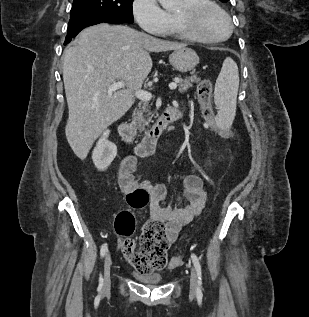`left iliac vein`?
<instances>
[{
	"label": "left iliac vein",
	"mask_w": 309,
	"mask_h": 317,
	"mask_svg": "<svg viewBox=\"0 0 309 317\" xmlns=\"http://www.w3.org/2000/svg\"><path fill=\"white\" fill-rule=\"evenodd\" d=\"M197 289V275L195 269L191 267V275H190V290L192 293H195Z\"/></svg>",
	"instance_id": "obj_1"
}]
</instances>
